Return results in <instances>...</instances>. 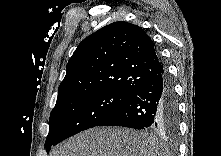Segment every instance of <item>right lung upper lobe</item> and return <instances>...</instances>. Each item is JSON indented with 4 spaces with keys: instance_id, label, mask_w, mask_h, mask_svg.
<instances>
[{
    "instance_id": "right-lung-upper-lobe-1",
    "label": "right lung upper lobe",
    "mask_w": 221,
    "mask_h": 156,
    "mask_svg": "<svg viewBox=\"0 0 221 156\" xmlns=\"http://www.w3.org/2000/svg\"><path fill=\"white\" fill-rule=\"evenodd\" d=\"M163 70L154 42L141 27L114 22L78 45L59 85L56 104L97 92L131 95Z\"/></svg>"
}]
</instances>
